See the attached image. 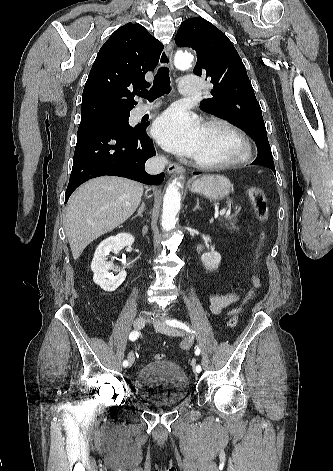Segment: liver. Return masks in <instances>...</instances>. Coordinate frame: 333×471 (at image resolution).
Wrapping results in <instances>:
<instances>
[{
	"label": "liver",
	"mask_w": 333,
	"mask_h": 471,
	"mask_svg": "<svg viewBox=\"0 0 333 471\" xmlns=\"http://www.w3.org/2000/svg\"><path fill=\"white\" fill-rule=\"evenodd\" d=\"M143 186L115 176L92 179L70 197L65 231L77 260L93 240L124 223L137 209Z\"/></svg>",
	"instance_id": "obj_1"
}]
</instances>
